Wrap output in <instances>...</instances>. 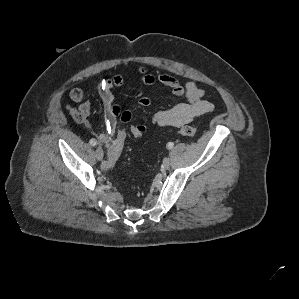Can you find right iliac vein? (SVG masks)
<instances>
[{"label": "right iliac vein", "instance_id": "63e3f726", "mask_svg": "<svg viewBox=\"0 0 299 299\" xmlns=\"http://www.w3.org/2000/svg\"><path fill=\"white\" fill-rule=\"evenodd\" d=\"M95 155H96V158L98 159V160H102L103 159V151H102V149L100 148V147H98L97 149H96V152H95Z\"/></svg>", "mask_w": 299, "mask_h": 299}]
</instances>
